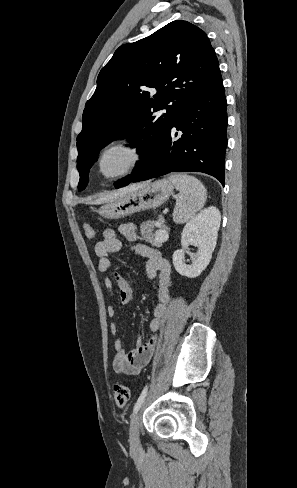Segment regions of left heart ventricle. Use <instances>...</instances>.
I'll return each instance as SVG.
<instances>
[{"label":"left heart ventricle","instance_id":"b2bd125f","mask_svg":"<svg viewBox=\"0 0 297 488\" xmlns=\"http://www.w3.org/2000/svg\"><path fill=\"white\" fill-rule=\"evenodd\" d=\"M134 153L129 148H115L109 151L102 162L103 172L107 176L115 175L126 169L132 162Z\"/></svg>","mask_w":297,"mask_h":488}]
</instances>
